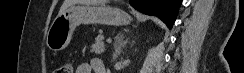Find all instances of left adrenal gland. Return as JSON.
<instances>
[{
  "label": "left adrenal gland",
  "mask_w": 244,
  "mask_h": 73,
  "mask_svg": "<svg viewBox=\"0 0 244 73\" xmlns=\"http://www.w3.org/2000/svg\"><path fill=\"white\" fill-rule=\"evenodd\" d=\"M128 43V38L124 40L123 35L117 37L114 43V59L118 58L122 52V49L126 46Z\"/></svg>",
  "instance_id": "a2214340"
}]
</instances>
